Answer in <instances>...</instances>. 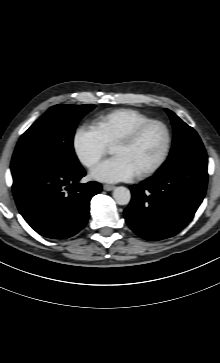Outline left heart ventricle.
I'll use <instances>...</instances> for the list:
<instances>
[{
  "mask_svg": "<svg viewBox=\"0 0 220 363\" xmlns=\"http://www.w3.org/2000/svg\"><path fill=\"white\" fill-rule=\"evenodd\" d=\"M165 133L159 126H151L131 145H115L112 153L124 157L136 173L152 166L160 157Z\"/></svg>",
  "mask_w": 220,
  "mask_h": 363,
  "instance_id": "b2bd125f",
  "label": "left heart ventricle"
}]
</instances>
